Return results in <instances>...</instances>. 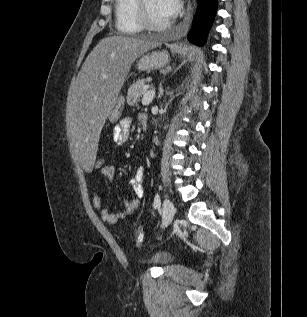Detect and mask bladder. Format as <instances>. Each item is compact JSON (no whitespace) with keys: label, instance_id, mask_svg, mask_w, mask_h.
<instances>
[{"label":"bladder","instance_id":"bladder-1","mask_svg":"<svg viewBox=\"0 0 307 317\" xmlns=\"http://www.w3.org/2000/svg\"><path fill=\"white\" fill-rule=\"evenodd\" d=\"M172 260V256L168 253H156L148 259V262L160 265H167L170 264Z\"/></svg>","mask_w":307,"mask_h":317}]
</instances>
